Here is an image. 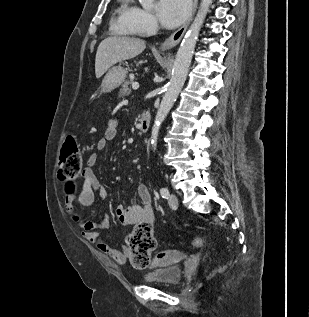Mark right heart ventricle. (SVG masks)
<instances>
[{"instance_id":"obj_1","label":"right heart ventricle","mask_w":309,"mask_h":317,"mask_svg":"<svg viewBox=\"0 0 309 317\" xmlns=\"http://www.w3.org/2000/svg\"><path fill=\"white\" fill-rule=\"evenodd\" d=\"M134 8L130 0H120L115 25L119 29V32L124 35H138V30L132 23Z\"/></svg>"}]
</instances>
